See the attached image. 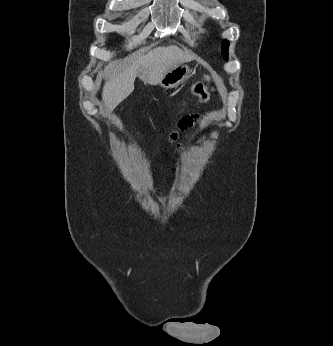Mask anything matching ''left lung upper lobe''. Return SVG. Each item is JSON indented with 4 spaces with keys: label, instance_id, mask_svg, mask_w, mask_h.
<instances>
[{
    "label": "left lung upper lobe",
    "instance_id": "left-lung-upper-lobe-1",
    "mask_svg": "<svg viewBox=\"0 0 333 346\" xmlns=\"http://www.w3.org/2000/svg\"><path fill=\"white\" fill-rule=\"evenodd\" d=\"M228 47H229V42L227 40H224L221 46V51L225 60L228 59Z\"/></svg>",
    "mask_w": 333,
    "mask_h": 346
}]
</instances>
